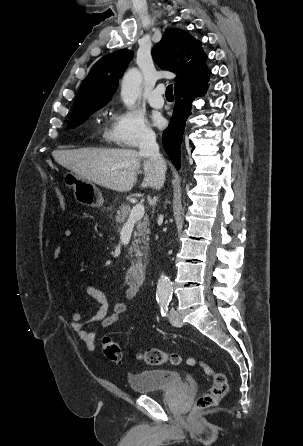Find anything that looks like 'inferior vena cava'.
<instances>
[{
	"label": "inferior vena cava",
	"mask_w": 303,
	"mask_h": 446,
	"mask_svg": "<svg viewBox=\"0 0 303 446\" xmlns=\"http://www.w3.org/2000/svg\"><path fill=\"white\" fill-rule=\"evenodd\" d=\"M140 154L149 158V160L154 164L157 172L165 177L166 163L162 155L159 153V146L156 142V136L154 133L146 134L139 145Z\"/></svg>",
	"instance_id": "1"
}]
</instances>
